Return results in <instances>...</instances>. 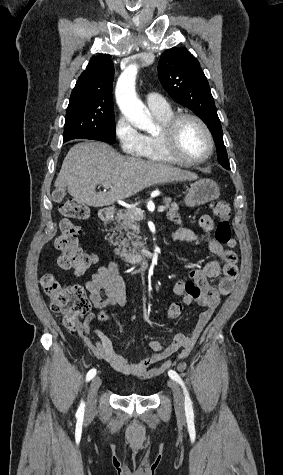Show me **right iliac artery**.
I'll list each match as a JSON object with an SVG mask.
<instances>
[{"mask_svg":"<svg viewBox=\"0 0 283 475\" xmlns=\"http://www.w3.org/2000/svg\"><path fill=\"white\" fill-rule=\"evenodd\" d=\"M96 375V369H91L88 373H87V376H86V381H89L91 380L94 376ZM84 403L81 402L78 410H77V413H76V417H83L84 415Z\"/></svg>","mask_w":283,"mask_h":475,"instance_id":"82829eb1","label":"right iliac artery"}]
</instances>
